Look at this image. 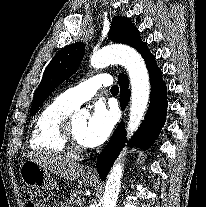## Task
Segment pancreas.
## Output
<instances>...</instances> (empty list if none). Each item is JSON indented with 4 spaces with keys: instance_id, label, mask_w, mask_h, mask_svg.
<instances>
[{
    "instance_id": "cf45deb5",
    "label": "pancreas",
    "mask_w": 206,
    "mask_h": 207,
    "mask_svg": "<svg viewBox=\"0 0 206 207\" xmlns=\"http://www.w3.org/2000/svg\"><path fill=\"white\" fill-rule=\"evenodd\" d=\"M81 194H82L81 192H74L66 200V203L59 202L54 207H75V206H81V204L83 203V201L81 199Z\"/></svg>"
}]
</instances>
